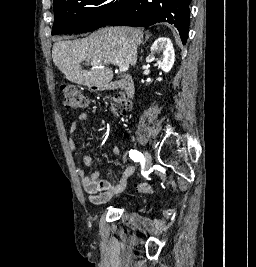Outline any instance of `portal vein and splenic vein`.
<instances>
[{
  "instance_id": "obj_1",
  "label": "portal vein and splenic vein",
  "mask_w": 256,
  "mask_h": 267,
  "mask_svg": "<svg viewBox=\"0 0 256 267\" xmlns=\"http://www.w3.org/2000/svg\"><path fill=\"white\" fill-rule=\"evenodd\" d=\"M93 64H95V62H93ZM114 64L115 66H119L120 72H126V70L129 68V64H125V62H122V60H116Z\"/></svg>"
}]
</instances>
